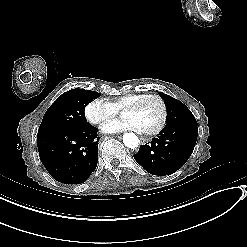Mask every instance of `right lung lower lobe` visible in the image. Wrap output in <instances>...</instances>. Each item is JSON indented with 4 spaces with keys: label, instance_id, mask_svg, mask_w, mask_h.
Masks as SVG:
<instances>
[{
    "label": "right lung lower lobe",
    "instance_id": "1",
    "mask_svg": "<svg viewBox=\"0 0 247 247\" xmlns=\"http://www.w3.org/2000/svg\"><path fill=\"white\" fill-rule=\"evenodd\" d=\"M97 132L88 124L37 134L40 160L49 174L65 184L85 182L98 162Z\"/></svg>",
    "mask_w": 247,
    "mask_h": 247
}]
</instances>
